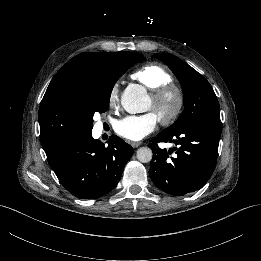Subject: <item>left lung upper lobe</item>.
I'll return each instance as SVG.
<instances>
[{"label":"left lung upper lobe","instance_id":"5c2ea615","mask_svg":"<svg viewBox=\"0 0 261 261\" xmlns=\"http://www.w3.org/2000/svg\"><path fill=\"white\" fill-rule=\"evenodd\" d=\"M153 57L168 65L179 80L184 94V111L178 120L162 133L175 135L199 122L220 125L219 102L209 82L195 69L172 54L155 53Z\"/></svg>","mask_w":261,"mask_h":261}]
</instances>
